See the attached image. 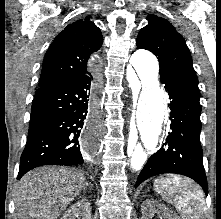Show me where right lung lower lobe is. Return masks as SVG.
Listing matches in <instances>:
<instances>
[{
	"instance_id": "1",
	"label": "right lung lower lobe",
	"mask_w": 221,
	"mask_h": 219,
	"mask_svg": "<svg viewBox=\"0 0 221 219\" xmlns=\"http://www.w3.org/2000/svg\"><path fill=\"white\" fill-rule=\"evenodd\" d=\"M94 80L89 72L36 90L17 180L38 166L84 162L80 143L93 119ZM95 139L92 134V144Z\"/></svg>"
}]
</instances>
